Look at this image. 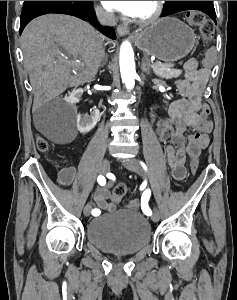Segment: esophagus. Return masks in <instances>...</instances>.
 <instances>
[{
  "instance_id": "obj_1",
  "label": "esophagus",
  "mask_w": 237,
  "mask_h": 300,
  "mask_svg": "<svg viewBox=\"0 0 237 300\" xmlns=\"http://www.w3.org/2000/svg\"><path fill=\"white\" fill-rule=\"evenodd\" d=\"M117 33L120 35V36H125L129 33V28L126 26V25H123V24H120L118 27H117Z\"/></svg>"
}]
</instances>
